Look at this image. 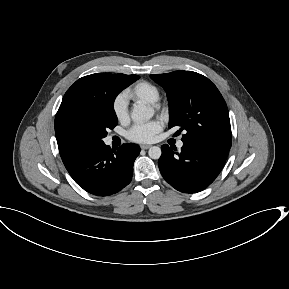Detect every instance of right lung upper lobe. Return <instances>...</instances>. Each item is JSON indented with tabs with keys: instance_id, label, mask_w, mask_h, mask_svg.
Returning a JSON list of instances; mask_svg holds the SVG:
<instances>
[{
	"instance_id": "obj_1",
	"label": "right lung upper lobe",
	"mask_w": 289,
	"mask_h": 289,
	"mask_svg": "<svg viewBox=\"0 0 289 289\" xmlns=\"http://www.w3.org/2000/svg\"><path fill=\"white\" fill-rule=\"evenodd\" d=\"M115 76L116 74L98 73V74H91L78 79L65 93L62 103L56 114L55 117L56 135L61 121L70 114L87 111L90 108H92V106L94 105L95 96ZM59 151L64 165H69L74 162L69 159L67 154L60 147Z\"/></svg>"
}]
</instances>
